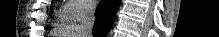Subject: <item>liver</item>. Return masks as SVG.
Masks as SVG:
<instances>
[{
    "instance_id": "liver-1",
    "label": "liver",
    "mask_w": 219,
    "mask_h": 37,
    "mask_svg": "<svg viewBox=\"0 0 219 37\" xmlns=\"http://www.w3.org/2000/svg\"><path fill=\"white\" fill-rule=\"evenodd\" d=\"M69 35H77V32H72V33L69 32ZM73 37H79V36H73Z\"/></svg>"
}]
</instances>
